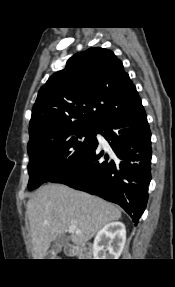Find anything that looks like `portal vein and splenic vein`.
I'll return each instance as SVG.
<instances>
[{
    "mask_svg": "<svg viewBox=\"0 0 175 287\" xmlns=\"http://www.w3.org/2000/svg\"><path fill=\"white\" fill-rule=\"evenodd\" d=\"M71 230H72V231H75V230H76V225H72V226H71Z\"/></svg>",
    "mask_w": 175,
    "mask_h": 287,
    "instance_id": "1",
    "label": "portal vein and splenic vein"
}]
</instances>
